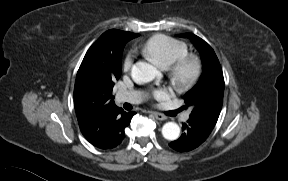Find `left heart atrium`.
Instances as JSON below:
<instances>
[{"label": "left heart atrium", "instance_id": "left-heart-atrium-1", "mask_svg": "<svg viewBox=\"0 0 288 181\" xmlns=\"http://www.w3.org/2000/svg\"><path fill=\"white\" fill-rule=\"evenodd\" d=\"M151 95L155 99L162 100L167 98L168 91L165 88H157L152 90Z\"/></svg>", "mask_w": 288, "mask_h": 181}]
</instances>
